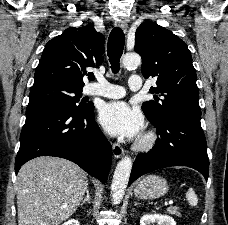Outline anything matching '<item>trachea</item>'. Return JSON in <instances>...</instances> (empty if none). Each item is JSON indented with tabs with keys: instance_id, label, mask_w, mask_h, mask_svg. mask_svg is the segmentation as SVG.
Here are the masks:
<instances>
[{
	"instance_id": "trachea-1",
	"label": "trachea",
	"mask_w": 228,
	"mask_h": 225,
	"mask_svg": "<svg viewBox=\"0 0 228 225\" xmlns=\"http://www.w3.org/2000/svg\"><path fill=\"white\" fill-rule=\"evenodd\" d=\"M125 44V35L123 31L116 27L108 38L107 54L111 64L113 73H118L120 70V58L123 54Z\"/></svg>"
}]
</instances>
